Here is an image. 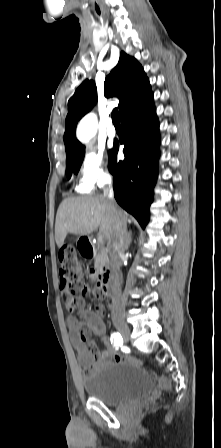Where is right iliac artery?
Masks as SVG:
<instances>
[{
  "instance_id": "right-iliac-artery-1",
  "label": "right iliac artery",
  "mask_w": 221,
  "mask_h": 448,
  "mask_svg": "<svg viewBox=\"0 0 221 448\" xmlns=\"http://www.w3.org/2000/svg\"><path fill=\"white\" fill-rule=\"evenodd\" d=\"M111 343H113V345L116 346L117 348L122 346L123 344L122 336L118 332H114L111 335Z\"/></svg>"
}]
</instances>
